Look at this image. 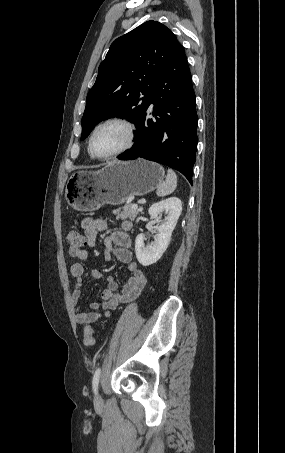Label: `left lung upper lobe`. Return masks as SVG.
<instances>
[{
  "label": "left lung upper lobe",
  "mask_w": 285,
  "mask_h": 453,
  "mask_svg": "<svg viewBox=\"0 0 285 453\" xmlns=\"http://www.w3.org/2000/svg\"><path fill=\"white\" fill-rule=\"evenodd\" d=\"M180 45L165 25L147 21L116 39L99 66L82 118L84 140L97 123L118 117L135 125L147 109L155 84Z\"/></svg>",
  "instance_id": "obj_1"
}]
</instances>
